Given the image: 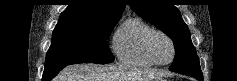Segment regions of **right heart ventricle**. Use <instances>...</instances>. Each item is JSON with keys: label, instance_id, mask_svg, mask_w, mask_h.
Here are the masks:
<instances>
[{"label": "right heart ventricle", "instance_id": "right-heart-ventricle-1", "mask_svg": "<svg viewBox=\"0 0 237 81\" xmlns=\"http://www.w3.org/2000/svg\"><path fill=\"white\" fill-rule=\"evenodd\" d=\"M152 30L140 17L127 18L113 36V50L118 60L137 67L154 66L145 47L146 38Z\"/></svg>", "mask_w": 237, "mask_h": 81}]
</instances>
